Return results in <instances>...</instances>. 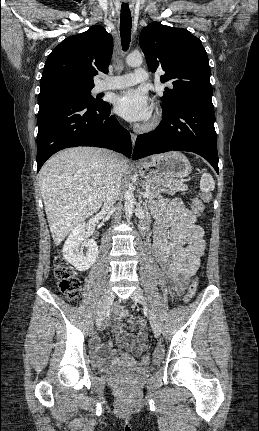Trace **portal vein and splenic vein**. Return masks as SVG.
I'll list each match as a JSON object with an SVG mask.
<instances>
[{"label": "portal vein and splenic vein", "mask_w": 259, "mask_h": 431, "mask_svg": "<svg viewBox=\"0 0 259 431\" xmlns=\"http://www.w3.org/2000/svg\"><path fill=\"white\" fill-rule=\"evenodd\" d=\"M149 193L148 190L146 189L145 192H143V197H148Z\"/></svg>", "instance_id": "obj_1"}]
</instances>
